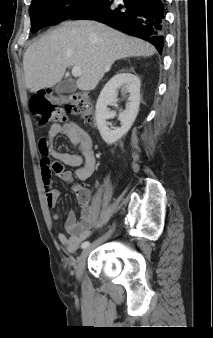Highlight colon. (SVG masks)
<instances>
[{
    "mask_svg": "<svg viewBox=\"0 0 213 338\" xmlns=\"http://www.w3.org/2000/svg\"><path fill=\"white\" fill-rule=\"evenodd\" d=\"M30 108L38 123L43 125L51 122L62 123L65 119V110L80 116L88 124L93 122L92 104L86 93L63 95L35 93L31 97Z\"/></svg>",
    "mask_w": 213,
    "mask_h": 338,
    "instance_id": "obj_1",
    "label": "colon"
}]
</instances>
